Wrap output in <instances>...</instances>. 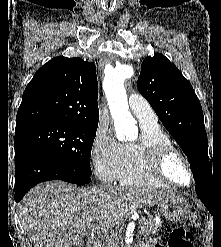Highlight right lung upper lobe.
<instances>
[{
	"label": "right lung upper lobe",
	"mask_w": 221,
	"mask_h": 247,
	"mask_svg": "<svg viewBox=\"0 0 221 247\" xmlns=\"http://www.w3.org/2000/svg\"><path fill=\"white\" fill-rule=\"evenodd\" d=\"M95 64L58 56L43 65L26 87L16 129L35 124L73 122L98 126Z\"/></svg>",
	"instance_id": "obj_1"
}]
</instances>
